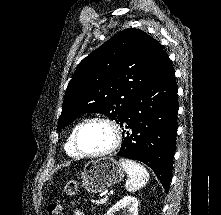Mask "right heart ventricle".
Returning a JSON list of instances; mask_svg holds the SVG:
<instances>
[{
    "mask_svg": "<svg viewBox=\"0 0 221 215\" xmlns=\"http://www.w3.org/2000/svg\"><path fill=\"white\" fill-rule=\"evenodd\" d=\"M79 124L80 123H77L71 128V130L67 136L66 142H65V151L71 157H78L79 156L74 148V145H73V135H74V132Z\"/></svg>",
    "mask_w": 221,
    "mask_h": 215,
    "instance_id": "obj_1",
    "label": "right heart ventricle"
}]
</instances>
